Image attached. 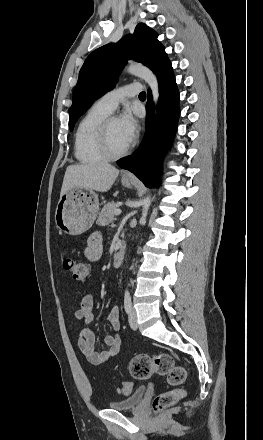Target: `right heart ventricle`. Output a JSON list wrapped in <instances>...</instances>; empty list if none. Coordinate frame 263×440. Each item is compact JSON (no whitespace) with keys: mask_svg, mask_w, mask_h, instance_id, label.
Wrapping results in <instances>:
<instances>
[{"mask_svg":"<svg viewBox=\"0 0 263 440\" xmlns=\"http://www.w3.org/2000/svg\"><path fill=\"white\" fill-rule=\"evenodd\" d=\"M109 114L95 103L79 121L74 136V155L79 162L90 164L107 159L97 146V129Z\"/></svg>","mask_w":263,"mask_h":440,"instance_id":"obj_1","label":"right heart ventricle"}]
</instances>
